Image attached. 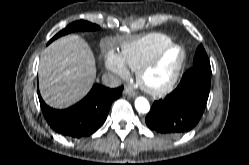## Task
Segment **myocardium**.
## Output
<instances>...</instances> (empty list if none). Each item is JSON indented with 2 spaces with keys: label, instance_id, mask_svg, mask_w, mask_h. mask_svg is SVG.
<instances>
[{
  "label": "myocardium",
  "instance_id": "obj_1",
  "mask_svg": "<svg viewBox=\"0 0 249 165\" xmlns=\"http://www.w3.org/2000/svg\"><path fill=\"white\" fill-rule=\"evenodd\" d=\"M185 60V48L172 43L137 69V82L149 93L164 94L176 84Z\"/></svg>",
  "mask_w": 249,
  "mask_h": 165
}]
</instances>
